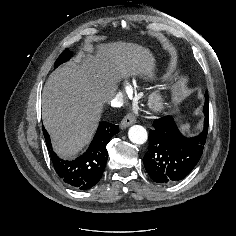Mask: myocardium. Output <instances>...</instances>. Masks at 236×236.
I'll use <instances>...</instances> for the list:
<instances>
[{"label": "myocardium", "instance_id": "1", "mask_svg": "<svg viewBox=\"0 0 236 236\" xmlns=\"http://www.w3.org/2000/svg\"><path fill=\"white\" fill-rule=\"evenodd\" d=\"M149 106L155 111L162 110L166 105V98L161 93L155 92L149 96Z\"/></svg>", "mask_w": 236, "mask_h": 236}]
</instances>
